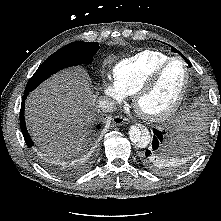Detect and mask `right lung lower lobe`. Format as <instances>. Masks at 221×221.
Returning a JSON list of instances; mask_svg holds the SVG:
<instances>
[{
  "mask_svg": "<svg viewBox=\"0 0 221 221\" xmlns=\"http://www.w3.org/2000/svg\"><path fill=\"white\" fill-rule=\"evenodd\" d=\"M28 94L29 93H24V95H23V99H22V103H21V110H20V126H21V131H22V134H23V137L25 139L27 146L32 147V146H34V143L27 132L25 120H24V105H25V100H26Z\"/></svg>",
  "mask_w": 221,
  "mask_h": 221,
  "instance_id": "obj_1",
  "label": "right lung lower lobe"
}]
</instances>
